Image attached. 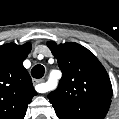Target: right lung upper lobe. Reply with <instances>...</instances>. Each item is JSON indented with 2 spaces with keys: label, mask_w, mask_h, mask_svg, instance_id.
Instances as JSON below:
<instances>
[{
  "label": "right lung upper lobe",
  "mask_w": 119,
  "mask_h": 119,
  "mask_svg": "<svg viewBox=\"0 0 119 119\" xmlns=\"http://www.w3.org/2000/svg\"><path fill=\"white\" fill-rule=\"evenodd\" d=\"M30 51V43L0 46V119H23L37 94L23 66Z\"/></svg>",
  "instance_id": "right-lung-upper-lobe-1"
}]
</instances>
